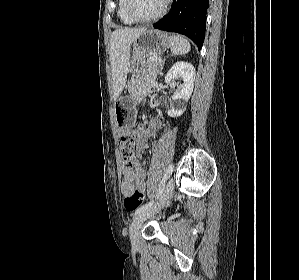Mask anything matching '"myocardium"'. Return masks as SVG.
<instances>
[{"label": "myocardium", "instance_id": "obj_1", "mask_svg": "<svg viewBox=\"0 0 299 280\" xmlns=\"http://www.w3.org/2000/svg\"><path fill=\"white\" fill-rule=\"evenodd\" d=\"M171 0H164V3L161 7V9L153 16L149 17V18H139L137 17L131 8V4H132V0H125V10L126 13L128 15V17L135 23H149V22H153L157 19H159L160 17H162L166 10L168 9V6L170 4Z\"/></svg>", "mask_w": 299, "mask_h": 280}]
</instances>
